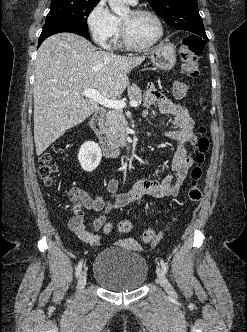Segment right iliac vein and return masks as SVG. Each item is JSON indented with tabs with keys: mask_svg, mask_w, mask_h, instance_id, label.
<instances>
[{
	"mask_svg": "<svg viewBox=\"0 0 247 332\" xmlns=\"http://www.w3.org/2000/svg\"><path fill=\"white\" fill-rule=\"evenodd\" d=\"M86 281H87V272L86 270H83L79 275L78 286H77L78 290H82L85 287Z\"/></svg>",
	"mask_w": 247,
	"mask_h": 332,
	"instance_id": "obj_1",
	"label": "right iliac vein"
}]
</instances>
